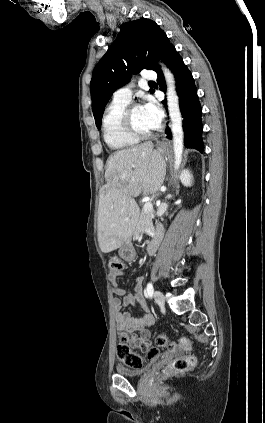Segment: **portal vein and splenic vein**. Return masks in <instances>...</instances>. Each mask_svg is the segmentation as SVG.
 <instances>
[{"label":"portal vein and splenic vein","mask_w":265,"mask_h":423,"mask_svg":"<svg viewBox=\"0 0 265 423\" xmlns=\"http://www.w3.org/2000/svg\"><path fill=\"white\" fill-rule=\"evenodd\" d=\"M143 210L145 212L151 213L153 211V204H152V202H150V201L146 202L144 204V206H143Z\"/></svg>","instance_id":"18ae733b"}]
</instances>
